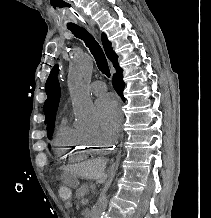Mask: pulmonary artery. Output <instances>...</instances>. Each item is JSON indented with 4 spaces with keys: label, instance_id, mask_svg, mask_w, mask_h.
Listing matches in <instances>:
<instances>
[{
    "label": "pulmonary artery",
    "instance_id": "1",
    "mask_svg": "<svg viewBox=\"0 0 211 218\" xmlns=\"http://www.w3.org/2000/svg\"><path fill=\"white\" fill-rule=\"evenodd\" d=\"M107 91V86L103 81H95L91 85V92L96 95L104 94Z\"/></svg>",
    "mask_w": 211,
    "mask_h": 218
}]
</instances>
